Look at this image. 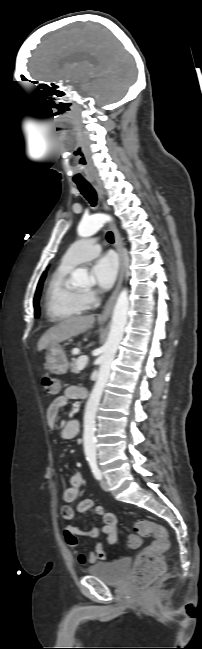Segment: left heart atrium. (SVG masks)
Here are the masks:
<instances>
[{
    "label": "left heart atrium",
    "mask_w": 202,
    "mask_h": 649,
    "mask_svg": "<svg viewBox=\"0 0 202 649\" xmlns=\"http://www.w3.org/2000/svg\"><path fill=\"white\" fill-rule=\"evenodd\" d=\"M117 272L118 261L111 253L98 258L91 268V276L95 284L103 290H107L113 285Z\"/></svg>",
    "instance_id": "39dd6f15"
}]
</instances>
